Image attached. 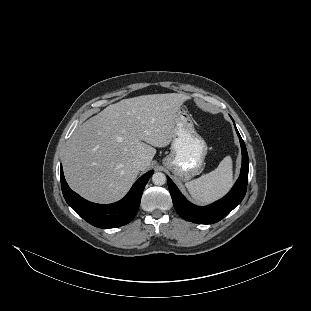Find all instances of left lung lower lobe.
Here are the masks:
<instances>
[{
	"instance_id": "left-lung-lower-lobe-1",
	"label": "left lung lower lobe",
	"mask_w": 311,
	"mask_h": 311,
	"mask_svg": "<svg viewBox=\"0 0 311 311\" xmlns=\"http://www.w3.org/2000/svg\"><path fill=\"white\" fill-rule=\"evenodd\" d=\"M235 129L242 149V167L237 182L225 197L208 206H195L184 198L172 180L167 177L174 207L183 219L198 224L216 223L230 213L244 198L248 182V154L244 141L236 127Z\"/></svg>"
}]
</instances>
